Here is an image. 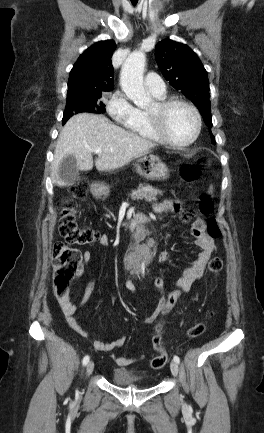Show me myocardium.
Listing matches in <instances>:
<instances>
[{
    "instance_id": "obj_1",
    "label": "myocardium",
    "mask_w": 264,
    "mask_h": 433,
    "mask_svg": "<svg viewBox=\"0 0 264 433\" xmlns=\"http://www.w3.org/2000/svg\"><path fill=\"white\" fill-rule=\"evenodd\" d=\"M176 105H182L187 107L194 115L196 121L195 132L192 137L185 142H177L173 140L167 133L166 130V115L167 112ZM147 114L151 123V126L160 140L170 146L177 148H186L193 145L200 136L202 130V117L199 110L189 101L181 98H167L158 100L153 105L152 109L147 110Z\"/></svg>"
}]
</instances>
